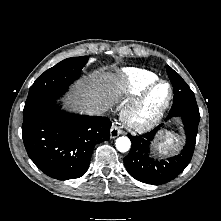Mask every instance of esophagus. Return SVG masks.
Instances as JSON below:
<instances>
[{
  "mask_svg": "<svg viewBox=\"0 0 221 221\" xmlns=\"http://www.w3.org/2000/svg\"><path fill=\"white\" fill-rule=\"evenodd\" d=\"M120 134H121L120 128L116 124H113L110 129V138L114 139L118 137Z\"/></svg>",
  "mask_w": 221,
  "mask_h": 221,
  "instance_id": "obj_1",
  "label": "esophagus"
}]
</instances>
